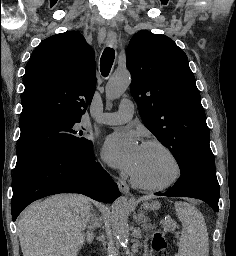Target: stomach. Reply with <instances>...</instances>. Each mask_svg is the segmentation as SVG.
I'll return each instance as SVG.
<instances>
[{"label": "stomach", "mask_w": 236, "mask_h": 256, "mask_svg": "<svg viewBox=\"0 0 236 256\" xmlns=\"http://www.w3.org/2000/svg\"><path fill=\"white\" fill-rule=\"evenodd\" d=\"M144 207L149 209H157L159 208V203L158 202H153L151 204L144 203Z\"/></svg>", "instance_id": "obj_1"}]
</instances>
